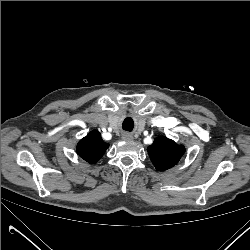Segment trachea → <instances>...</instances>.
<instances>
[{
  "label": "trachea",
  "instance_id": "1",
  "mask_svg": "<svg viewBox=\"0 0 250 250\" xmlns=\"http://www.w3.org/2000/svg\"><path fill=\"white\" fill-rule=\"evenodd\" d=\"M122 127L126 131H132L134 127V122L131 118H126L122 124Z\"/></svg>",
  "mask_w": 250,
  "mask_h": 250
}]
</instances>
